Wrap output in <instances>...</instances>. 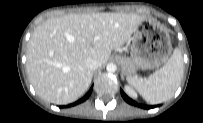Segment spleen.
Instances as JSON below:
<instances>
[{
	"mask_svg": "<svg viewBox=\"0 0 203 123\" xmlns=\"http://www.w3.org/2000/svg\"><path fill=\"white\" fill-rule=\"evenodd\" d=\"M183 76L181 51L175 49L165 65L148 78L128 77V82L150 104H159L171 98Z\"/></svg>",
	"mask_w": 203,
	"mask_h": 123,
	"instance_id": "spleen-1",
	"label": "spleen"
}]
</instances>
